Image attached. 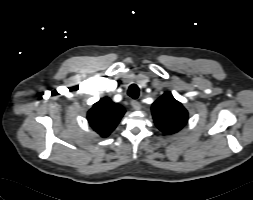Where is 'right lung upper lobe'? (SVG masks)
<instances>
[{
    "label": "right lung upper lobe",
    "mask_w": 253,
    "mask_h": 200,
    "mask_svg": "<svg viewBox=\"0 0 253 200\" xmlns=\"http://www.w3.org/2000/svg\"><path fill=\"white\" fill-rule=\"evenodd\" d=\"M125 109L108 97L101 98L87 113L90 126L101 137H107L115 129Z\"/></svg>",
    "instance_id": "obj_1"
}]
</instances>
